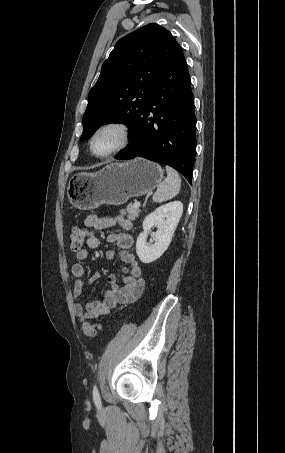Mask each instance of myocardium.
I'll return each instance as SVG.
<instances>
[{"label":"myocardium","instance_id":"myocardium-1","mask_svg":"<svg viewBox=\"0 0 285 453\" xmlns=\"http://www.w3.org/2000/svg\"><path fill=\"white\" fill-rule=\"evenodd\" d=\"M108 129L116 130L119 133L120 142L111 151H109L105 154H97L93 149L94 140L98 136V134H100L101 132L108 130ZM131 137H132L131 128L128 124L121 122V121H115V120L108 121V122L101 124L94 130V132L92 133V135L89 139V149H90L91 154L97 158H102V159L109 158V157H112V156L122 152L123 150H125L131 142Z\"/></svg>","mask_w":285,"mask_h":453}]
</instances>
